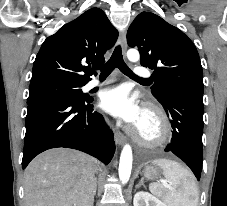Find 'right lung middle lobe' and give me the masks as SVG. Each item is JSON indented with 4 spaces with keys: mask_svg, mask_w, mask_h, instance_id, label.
Returning <instances> with one entry per match:
<instances>
[{
    "mask_svg": "<svg viewBox=\"0 0 227 206\" xmlns=\"http://www.w3.org/2000/svg\"><path fill=\"white\" fill-rule=\"evenodd\" d=\"M84 85L55 79L33 82L29 87L27 103L45 98L83 100L87 98L81 89Z\"/></svg>",
    "mask_w": 227,
    "mask_h": 206,
    "instance_id": "obj_1",
    "label": "right lung middle lobe"
}]
</instances>
